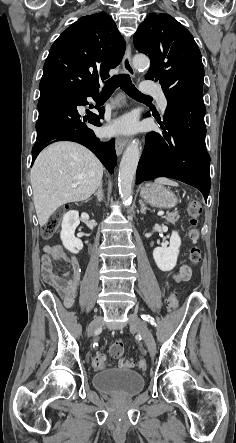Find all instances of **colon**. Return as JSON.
<instances>
[{
	"mask_svg": "<svg viewBox=\"0 0 236 443\" xmlns=\"http://www.w3.org/2000/svg\"><path fill=\"white\" fill-rule=\"evenodd\" d=\"M187 211L189 216L191 217V229L189 231V238L193 242H197L200 237V233L197 228V217L201 214L200 202L197 200L189 201ZM60 222L61 216L59 213L52 215L41 227L42 237L45 239L51 238L58 230ZM189 257L191 262L198 263L201 260L200 249L197 246L192 247ZM170 304L173 308L177 307V301L174 295L170 296ZM109 354L114 359H120L124 354V343L121 340L113 342L109 348ZM91 363L92 366L98 370L107 369L109 367L106 358L100 354L93 356ZM119 365L123 368L129 369L134 366V362L132 359H120ZM139 367L141 370H145L147 368V363L145 359H141L139 361Z\"/></svg>",
	"mask_w": 236,
	"mask_h": 443,
	"instance_id": "1",
	"label": "colon"
}]
</instances>
